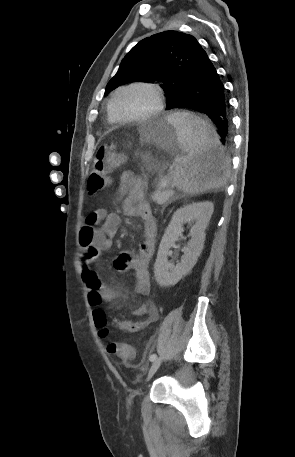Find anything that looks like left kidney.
<instances>
[{"instance_id": "obj_1", "label": "left kidney", "mask_w": 295, "mask_h": 457, "mask_svg": "<svg viewBox=\"0 0 295 457\" xmlns=\"http://www.w3.org/2000/svg\"><path fill=\"white\" fill-rule=\"evenodd\" d=\"M213 211V204L205 201L183 206L174 212L171 222L162 237L154 265V274L160 286H174L192 270L203 250L205 230ZM192 222H195V224L189 233L191 239L183 249L184 255L176 266L170 265L168 254L171 246L182 234L183 224Z\"/></svg>"}]
</instances>
